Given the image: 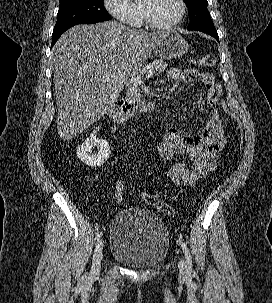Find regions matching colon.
Listing matches in <instances>:
<instances>
[{"instance_id": "obj_1", "label": "colon", "mask_w": 272, "mask_h": 303, "mask_svg": "<svg viewBox=\"0 0 272 303\" xmlns=\"http://www.w3.org/2000/svg\"><path fill=\"white\" fill-rule=\"evenodd\" d=\"M194 62L200 66L210 67L215 64V57L213 55L208 54V55L201 57L198 60H195ZM221 108L239 126V128L241 130V121L235 115V113H233L228 108L225 101H221ZM241 144H242V137L240 138V145ZM141 198L146 204L157 208L159 211L163 212L164 214H166L168 216L173 217L176 214L175 209L171 205L160 200L157 196H155L152 193L143 192L141 194ZM115 199H116L117 203H122V201H123V184H122V181H120V180H118L115 183Z\"/></svg>"}]
</instances>
